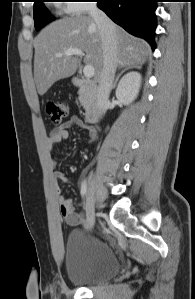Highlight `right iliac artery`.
Here are the masks:
<instances>
[{"mask_svg": "<svg viewBox=\"0 0 195 299\" xmlns=\"http://www.w3.org/2000/svg\"><path fill=\"white\" fill-rule=\"evenodd\" d=\"M87 193V183L85 181H83L81 183V195L82 197H84Z\"/></svg>", "mask_w": 195, "mask_h": 299, "instance_id": "82829eb1", "label": "right iliac artery"}]
</instances>
